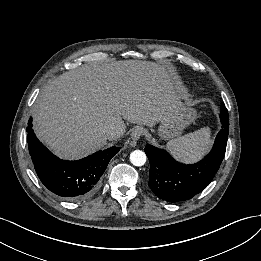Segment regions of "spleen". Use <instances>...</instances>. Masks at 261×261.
<instances>
[{
    "instance_id": "1",
    "label": "spleen",
    "mask_w": 261,
    "mask_h": 261,
    "mask_svg": "<svg viewBox=\"0 0 261 261\" xmlns=\"http://www.w3.org/2000/svg\"><path fill=\"white\" fill-rule=\"evenodd\" d=\"M210 128L204 127L193 133L177 137L167 143L173 156L185 162H194L207 152L211 145Z\"/></svg>"
}]
</instances>
